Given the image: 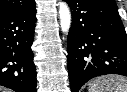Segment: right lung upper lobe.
<instances>
[{
	"label": "right lung upper lobe",
	"mask_w": 127,
	"mask_h": 92,
	"mask_svg": "<svg viewBox=\"0 0 127 92\" xmlns=\"http://www.w3.org/2000/svg\"><path fill=\"white\" fill-rule=\"evenodd\" d=\"M34 4V0H0V15L27 9Z\"/></svg>",
	"instance_id": "right-lung-upper-lobe-1"
}]
</instances>
